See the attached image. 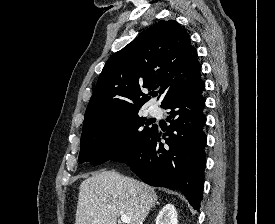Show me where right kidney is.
<instances>
[{
	"label": "right kidney",
	"mask_w": 275,
	"mask_h": 224,
	"mask_svg": "<svg viewBox=\"0 0 275 224\" xmlns=\"http://www.w3.org/2000/svg\"><path fill=\"white\" fill-rule=\"evenodd\" d=\"M156 224H178L177 211L174 205L167 204L159 212Z\"/></svg>",
	"instance_id": "obj_1"
}]
</instances>
